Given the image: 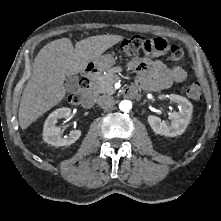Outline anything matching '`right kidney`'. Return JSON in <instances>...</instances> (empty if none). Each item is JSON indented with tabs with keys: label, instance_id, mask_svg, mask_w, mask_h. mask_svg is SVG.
<instances>
[{
	"label": "right kidney",
	"instance_id": "right-kidney-1",
	"mask_svg": "<svg viewBox=\"0 0 221 221\" xmlns=\"http://www.w3.org/2000/svg\"><path fill=\"white\" fill-rule=\"evenodd\" d=\"M70 116L71 110L69 108L56 109L48 116L43 126V139L46 143L53 146H68L80 138V130H74L68 136L61 137V129L56 126V123L60 118H69Z\"/></svg>",
	"mask_w": 221,
	"mask_h": 221
}]
</instances>
